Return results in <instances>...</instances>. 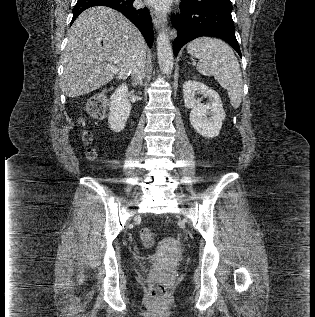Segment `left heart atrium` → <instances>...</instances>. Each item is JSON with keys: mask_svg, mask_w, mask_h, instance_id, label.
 <instances>
[{"mask_svg": "<svg viewBox=\"0 0 315 317\" xmlns=\"http://www.w3.org/2000/svg\"><path fill=\"white\" fill-rule=\"evenodd\" d=\"M146 4L155 7L157 9H166L169 4V0H144Z\"/></svg>", "mask_w": 315, "mask_h": 317, "instance_id": "1", "label": "left heart atrium"}]
</instances>
